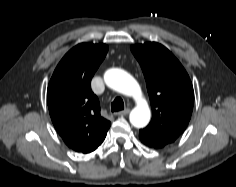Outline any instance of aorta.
<instances>
[{
	"label": "aorta",
	"instance_id": "obj_1",
	"mask_svg": "<svg viewBox=\"0 0 236 187\" xmlns=\"http://www.w3.org/2000/svg\"><path fill=\"white\" fill-rule=\"evenodd\" d=\"M104 80L108 87L125 95L132 97L136 102V107L130 113V122L137 128L145 127L151 116L149 106L142 97V92L137 81L126 71L112 68L105 72Z\"/></svg>",
	"mask_w": 236,
	"mask_h": 187
}]
</instances>
